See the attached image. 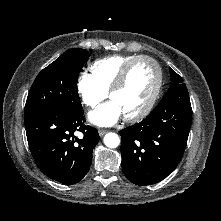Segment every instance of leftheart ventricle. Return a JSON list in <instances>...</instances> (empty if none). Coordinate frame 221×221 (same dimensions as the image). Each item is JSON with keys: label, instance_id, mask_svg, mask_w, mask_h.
<instances>
[{"label": "left heart ventricle", "instance_id": "obj_1", "mask_svg": "<svg viewBox=\"0 0 221 221\" xmlns=\"http://www.w3.org/2000/svg\"><path fill=\"white\" fill-rule=\"evenodd\" d=\"M157 73L152 63L139 61L131 69L126 83L110 97L122 110L123 116L139 112L151 97Z\"/></svg>", "mask_w": 221, "mask_h": 221}]
</instances>
